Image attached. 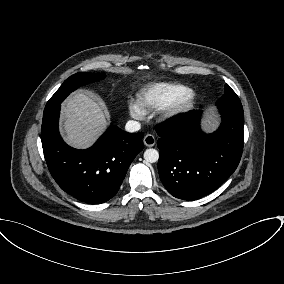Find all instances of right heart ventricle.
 Wrapping results in <instances>:
<instances>
[{
	"label": "right heart ventricle",
	"instance_id": "e07e8e85",
	"mask_svg": "<svg viewBox=\"0 0 284 284\" xmlns=\"http://www.w3.org/2000/svg\"><path fill=\"white\" fill-rule=\"evenodd\" d=\"M189 91L188 86L180 83H153L139 91L137 103L143 111L159 110L171 105Z\"/></svg>",
	"mask_w": 284,
	"mask_h": 284
}]
</instances>
